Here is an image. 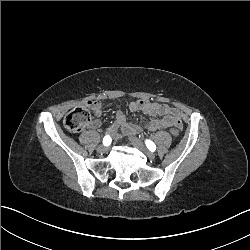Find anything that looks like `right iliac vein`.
Returning a JSON list of instances; mask_svg holds the SVG:
<instances>
[{
	"mask_svg": "<svg viewBox=\"0 0 250 250\" xmlns=\"http://www.w3.org/2000/svg\"><path fill=\"white\" fill-rule=\"evenodd\" d=\"M97 150H98L99 152H101V153H105V152L108 151V147L105 146V145H99V146L97 147Z\"/></svg>",
	"mask_w": 250,
	"mask_h": 250,
	"instance_id": "right-iliac-vein-1",
	"label": "right iliac vein"
}]
</instances>
